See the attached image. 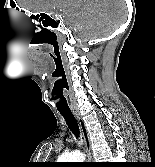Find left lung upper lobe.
I'll return each mask as SVG.
<instances>
[{"label": "left lung upper lobe", "instance_id": "obj_1", "mask_svg": "<svg viewBox=\"0 0 155 167\" xmlns=\"http://www.w3.org/2000/svg\"><path fill=\"white\" fill-rule=\"evenodd\" d=\"M55 166H59V165H57L56 163L54 164Z\"/></svg>", "mask_w": 155, "mask_h": 167}]
</instances>
